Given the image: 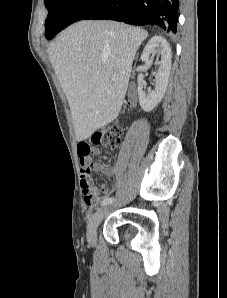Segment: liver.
Masks as SVG:
<instances>
[{
  "label": "liver",
  "instance_id": "obj_1",
  "mask_svg": "<svg viewBox=\"0 0 227 298\" xmlns=\"http://www.w3.org/2000/svg\"><path fill=\"white\" fill-rule=\"evenodd\" d=\"M148 33L116 21H79L48 49L68 100L77 141L115 120L136 52Z\"/></svg>",
  "mask_w": 227,
  "mask_h": 298
}]
</instances>
